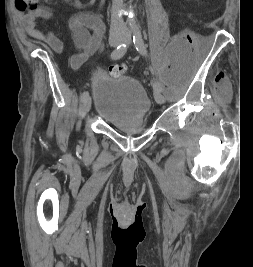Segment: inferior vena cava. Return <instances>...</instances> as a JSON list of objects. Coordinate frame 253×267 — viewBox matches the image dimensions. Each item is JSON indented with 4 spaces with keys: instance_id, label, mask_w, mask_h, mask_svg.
<instances>
[{
    "instance_id": "inferior-vena-cava-1",
    "label": "inferior vena cava",
    "mask_w": 253,
    "mask_h": 267,
    "mask_svg": "<svg viewBox=\"0 0 253 267\" xmlns=\"http://www.w3.org/2000/svg\"><path fill=\"white\" fill-rule=\"evenodd\" d=\"M123 8V0H112L111 30L115 28H124L123 18L116 14Z\"/></svg>"
}]
</instances>
